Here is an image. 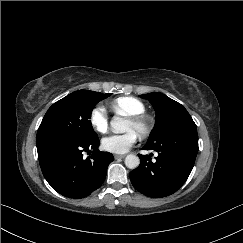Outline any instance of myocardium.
<instances>
[{
    "label": "myocardium",
    "instance_id": "obj_1",
    "mask_svg": "<svg viewBox=\"0 0 243 243\" xmlns=\"http://www.w3.org/2000/svg\"><path fill=\"white\" fill-rule=\"evenodd\" d=\"M127 119L138 127V137L146 139L151 134L153 123L151 119L145 114H137L127 116Z\"/></svg>",
    "mask_w": 243,
    "mask_h": 243
}]
</instances>
